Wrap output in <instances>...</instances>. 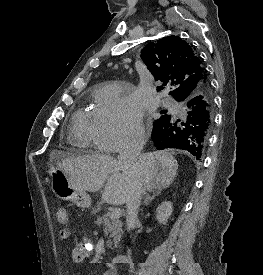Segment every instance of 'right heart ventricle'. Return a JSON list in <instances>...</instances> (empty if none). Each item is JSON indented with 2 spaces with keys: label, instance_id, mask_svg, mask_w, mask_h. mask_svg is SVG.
<instances>
[{
  "label": "right heart ventricle",
  "instance_id": "1",
  "mask_svg": "<svg viewBox=\"0 0 263 275\" xmlns=\"http://www.w3.org/2000/svg\"><path fill=\"white\" fill-rule=\"evenodd\" d=\"M97 117L93 112L78 111L72 119L69 141L78 148H88L96 143Z\"/></svg>",
  "mask_w": 263,
  "mask_h": 275
}]
</instances>
